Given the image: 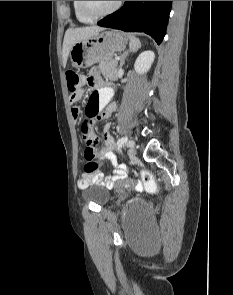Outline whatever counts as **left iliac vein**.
Listing matches in <instances>:
<instances>
[{"mask_svg": "<svg viewBox=\"0 0 233 295\" xmlns=\"http://www.w3.org/2000/svg\"><path fill=\"white\" fill-rule=\"evenodd\" d=\"M132 145H128L129 150H128V154L129 156L133 157L136 155V149H135V142L132 140Z\"/></svg>", "mask_w": 233, "mask_h": 295, "instance_id": "4c4485c4", "label": "left iliac vein"}]
</instances>
